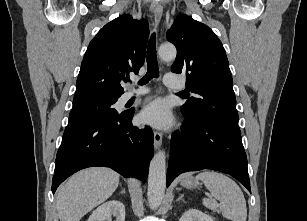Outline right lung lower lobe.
I'll return each instance as SVG.
<instances>
[{
	"label": "right lung lower lobe",
	"instance_id": "right-lung-lower-lobe-1",
	"mask_svg": "<svg viewBox=\"0 0 307 221\" xmlns=\"http://www.w3.org/2000/svg\"><path fill=\"white\" fill-rule=\"evenodd\" d=\"M134 111L122 112L63 134L57 152L52 192L73 173L92 166L110 167L145 182L153 156L150 128L132 125Z\"/></svg>",
	"mask_w": 307,
	"mask_h": 221
}]
</instances>
